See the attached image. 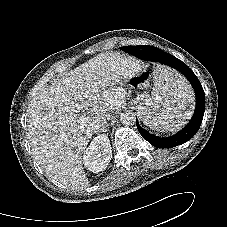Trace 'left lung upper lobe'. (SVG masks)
I'll list each match as a JSON object with an SVG mask.
<instances>
[{
    "label": "left lung upper lobe",
    "mask_w": 227,
    "mask_h": 227,
    "mask_svg": "<svg viewBox=\"0 0 227 227\" xmlns=\"http://www.w3.org/2000/svg\"><path fill=\"white\" fill-rule=\"evenodd\" d=\"M130 47H132V46H124V47L121 48V50L127 52V50H128ZM127 53H128V52H127Z\"/></svg>",
    "instance_id": "obj_1"
}]
</instances>
